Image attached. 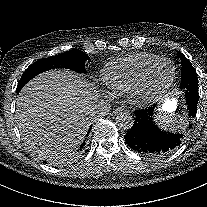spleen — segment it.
<instances>
[{
	"label": "spleen",
	"mask_w": 207,
	"mask_h": 207,
	"mask_svg": "<svg viewBox=\"0 0 207 207\" xmlns=\"http://www.w3.org/2000/svg\"><path fill=\"white\" fill-rule=\"evenodd\" d=\"M153 128L157 134L173 137L181 130L182 123L177 118L160 116L154 120Z\"/></svg>",
	"instance_id": "obj_1"
}]
</instances>
